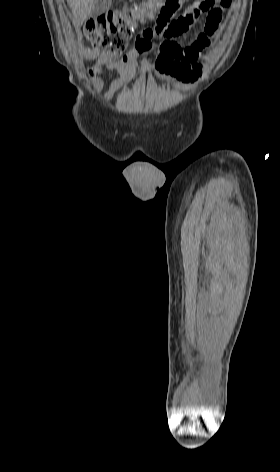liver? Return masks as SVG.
Returning <instances> with one entry per match:
<instances>
[{
  "mask_svg": "<svg viewBox=\"0 0 280 472\" xmlns=\"http://www.w3.org/2000/svg\"><path fill=\"white\" fill-rule=\"evenodd\" d=\"M73 14V24L80 27L92 15L94 0H67Z\"/></svg>",
  "mask_w": 280,
  "mask_h": 472,
  "instance_id": "1",
  "label": "liver"
}]
</instances>
